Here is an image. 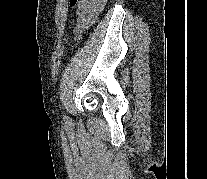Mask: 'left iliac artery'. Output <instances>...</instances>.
I'll list each match as a JSON object with an SVG mask.
<instances>
[{"instance_id": "obj_1", "label": "left iliac artery", "mask_w": 207, "mask_h": 179, "mask_svg": "<svg viewBox=\"0 0 207 179\" xmlns=\"http://www.w3.org/2000/svg\"><path fill=\"white\" fill-rule=\"evenodd\" d=\"M64 119L66 120V121H69V117L68 116H64Z\"/></svg>"}]
</instances>
